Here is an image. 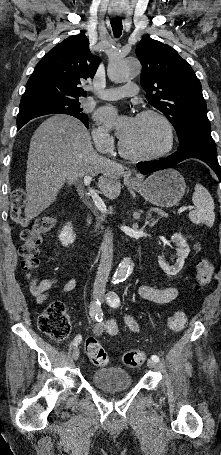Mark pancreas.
<instances>
[{"label": "pancreas", "mask_w": 221, "mask_h": 455, "mask_svg": "<svg viewBox=\"0 0 221 455\" xmlns=\"http://www.w3.org/2000/svg\"><path fill=\"white\" fill-rule=\"evenodd\" d=\"M102 219L101 218H98V221H97V224L95 225V231H98V229H102V226H101V222Z\"/></svg>", "instance_id": "1"}]
</instances>
